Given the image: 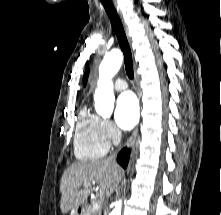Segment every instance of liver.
<instances>
[{
  "label": "liver",
  "instance_id": "6515ba94",
  "mask_svg": "<svg viewBox=\"0 0 221 215\" xmlns=\"http://www.w3.org/2000/svg\"><path fill=\"white\" fill-rule=\"evenodd\" d=\"M120 175V166L108 159L72 164L61 178V212L65 214L84 204L92 191L91 185L95 183H99L100 196H110Z\"/></svg>",
  "mask_w": 221,
  "mask_h": 215
}]
</instances>
